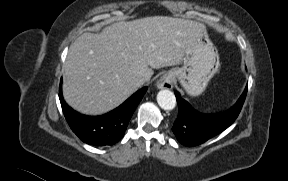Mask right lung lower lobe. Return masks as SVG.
<instances>
[{
	"mask_svg": "<svg viewBox=\"0 0 288 181\" xmlns=\"http://www.w3.org/2000/svg\"><path fill=\"white\" fill-rule=\"evenodd\" d=\"M147 91L144 87L123 104L101 116H86L74 111L63 99L61 85L59 98L64 116L72 131L85 143L108 146L123 138L137 105Z\"/></svg>",
	"mask_w": 288,
	"mask_h": 181,
	"instance_id": "1",
	"label": "right lung lower lobe"
}]
</instances>
